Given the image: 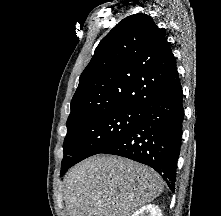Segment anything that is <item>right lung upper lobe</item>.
Here are the masks:
<instances>
[{
    "mask_svg": "<svg viewBox=\"0 0 221 216\" xmlns=\"http://www.w3.org/2000/svg\"><path fill=\"white\" fill-rule=\"evenodd\" d=\"M177 77L171 47L153 19L128 16L101 40L82 72L67 126L108 110L141 108Z\"/></svg>",
    "mask_w": 221,
    "mask_h": 216,
    "instance_id": "cb5924a9",
    "label": "right lung upper lobe"
}]
</instances>
